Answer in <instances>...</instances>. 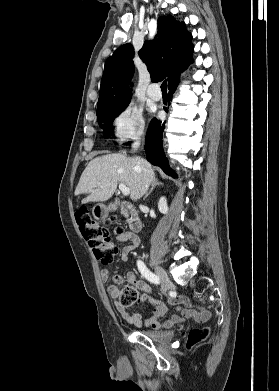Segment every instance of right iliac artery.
I'll return each instance as SVG.
<instances>
[{"instance_id": "right-iliac-artery-1", "label": "right iliac artery", "mask_w": 279, "mask_h": 391, "mask_svg": "<svg viewBox=\"0 0 279 391\" xmlns=\"http://www.w3.org/2000/svg\"><path fill=\"white\" fill-rule=\"evenodd\" d=\"M137 265L142 276L145 277L148 281L154 284L160 283L159 277L152 273L141 260H138Z\"/></svg>"}]
</instances>
